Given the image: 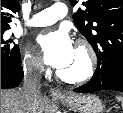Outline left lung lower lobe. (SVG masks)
Masks as SVG:
<instances>
[{"label": "left lung lower lobe", "instance_id": "obj_1", "mask_svg": "<svg viewBox=\"0 0 123 113\" xmlns=\"http://www.w3.org/2000/svg\"><path fill=\"white\" fill-rule=\"evenodd\" d=\"M101 90H115L123 92V59L114 61L110 71L96 69L92 79L76 89L79 93H93Z\"/></svg>", "mask_w": 123, "mask_h": 113}]
</instances>
